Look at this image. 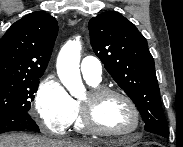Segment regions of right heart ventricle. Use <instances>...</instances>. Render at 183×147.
<instances>
[{"label":"right heart ventricle","mask_w":183,"mask_h":147,"mask_svg":"<svg viewBox=\"0 0 183 147\" xmlns=\"http://www.w3.org/2000/svg\"><path fill=\"white\" fill-rule=\"evenodd\" d=\"M93 87H96L98 84H92L90 83ZM74 101V107H75V118L73 121L74 127L78 132L84 133L87 131L83 119H82V111H81V104L77 100Z\"/></svg>","instance_id":"right-heart-ventricle-1"}]
</instances>
